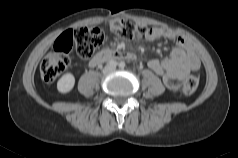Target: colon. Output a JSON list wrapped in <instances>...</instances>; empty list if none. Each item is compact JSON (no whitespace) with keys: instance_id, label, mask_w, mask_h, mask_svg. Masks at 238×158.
Listing matches in <instances>:
<instances>
[{"instance_id":"colon-1","label":"colon","mask_w":238,"mask_h":158,"mask_svg":"<svg viewBox=\"0 0 238 158\" xmlns=\"http://www.w3.org/2000/svg\"><path fill=\"white\" fill-rule=\"evenodd\" d=\"M110 31L125 39H135L147 36L151 29L147 26L127 19L115 18L108 22ZM104 33L97 27L81 26L70 29L62 34L55 42L53 50L45 57L40 66L41 77L45 82H53L71 64L70 53L87 59L103 42ZM199 85V75L194 73L184 82L182 94H193Z\"/></svg>"}]
</instances>
